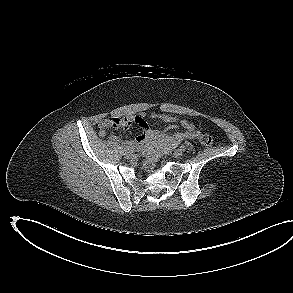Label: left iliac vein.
Wrapping results in <instances>:
<instances>
[{"label": "left iliac vein", "mask_w": 293, "mask_h": 293, "mask_svg": "<svg viewBox=\"0 0 293 293\" xmlns=\"http://www.w3.org/2000/svg\"><path fill=\"white\" fill-rule=\"evenodd\" d=\"M182 155H183V151H182L181 149H176V150L174 151V156H175L176 158H180Z\"/></svg>", "instance_id": "4c4485c4"}]
</instances>
